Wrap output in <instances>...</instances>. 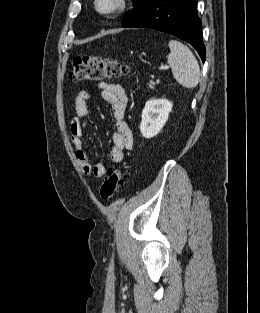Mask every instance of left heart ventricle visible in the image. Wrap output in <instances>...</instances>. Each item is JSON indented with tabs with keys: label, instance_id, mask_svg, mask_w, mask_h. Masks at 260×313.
I'll return each mask as SVG.
<instances>
[{
	"label": "left heart ventricle",
	"instance_id": "left-heart-ventricle-1",
	"mask_svg": "<svg viewBox=\"0 0 260 313\" xmlns=\"http://www.w3.org/2000/svg\"><path fill=\"white\" fill-rule=\"evenodd\" d=\"M114 0H100L99 6L101 9L106 10L112 7Z\"/></svg>",
	"mask_w": 260,
	"mask_h": 313
}]
</instances>
